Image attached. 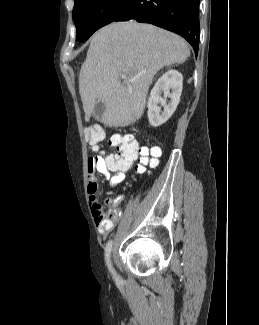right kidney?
Here are the masks:
<instances>
[{
	"label": "right kidney",
	"mask_w": 259,
	"mask_h": 325,
	"mask_svg": "<svg viewBox=\"0 0 259 325\" xmlns=\"http://www.w3.org/2000/svg\"><path fill=\"white\" fill-rule=\"evenodd\" d=\"M183 76L177 70L171 69L164 73L155 83L148 99V119L153 127H158L165 123L175 112L182 93ZM170 90L172 91L170 93ZM164 94L161 97V94ZM171 101L167 104L166 99ZM164 108L161 112V107Z\"/></svg>",
	"instance_id": "ca27d5eb"
}]
</instances>
